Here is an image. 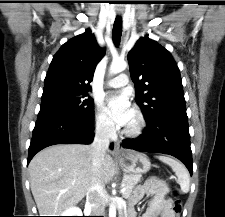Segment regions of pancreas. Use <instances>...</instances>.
<instances>
[{
    "label": "pancreas",
    "mask_w": 225,
    "mask_h": 217,
    "mask_svg": "<svg viewBox=\"0 0 225 217\" xmlns=\"http://www.w3.org/2000/svg\"><path fill=\"white\" fill-rule=\"evenodd\" d=\"M141 181V175H124L122 180V185L126 188L123 193L124 198L130 197L133 192L134 187ZM169 189H164L162 195H166Z\"/></svg>",
    "instance_id": "pancreas-1"
}]
</instances>
